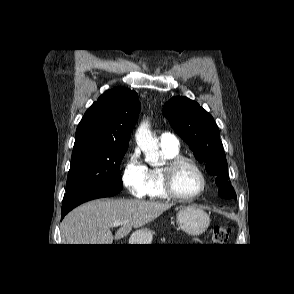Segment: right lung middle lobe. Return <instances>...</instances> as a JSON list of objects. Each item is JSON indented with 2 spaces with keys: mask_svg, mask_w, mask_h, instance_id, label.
Listing matches in <instances>:
<instances>
[{
  "mask_svg": "<svg viewBox=\"0 0 294 294\" xmlns=\"http://www.w3.org/2000/svg\"><path fill=\"white\" fill-rule=\"evenodd\" d=\"M128 147H74L63 202L87 192L122 190L119 165Z\"/></svg>",
  "mask_w": 294,
  "mask_h": 294,
  "instance_id": "dd1d6c3e",
  "label": "right lung middle lobe"
}]
</instances>
